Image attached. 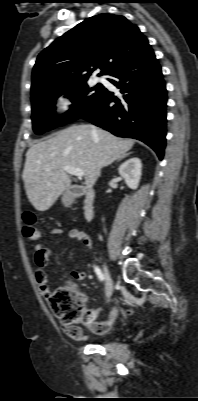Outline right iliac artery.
Masks as SVG:
<instances>
[{
	"instance_id": "82829eb1",
	"label": "right iliac artery",
	"mask_w": 198,
	"mask_h": 401,
	"mask_svg": "<svg viewBox=\"0 0 198 401\" xmlns=\"http://www.w3.org/2000/svg\"><path fill=\"white\" fill-rule=\"evenodd\" d=\"M94 271H95L97 277H98L101 281H103V280L105 279V277H104L102 271H101L97 266L94 267Z\"/></svg>"
}]
</instances>
